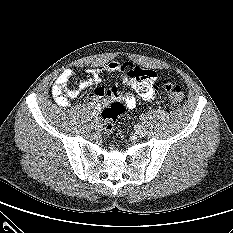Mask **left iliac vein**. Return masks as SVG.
Masks as SVG:
<instances>
[{
  "instance_id": "left-iliac-vein-1",
  "label": "left iliac vein",
  "mask_w": 233,
  "mask_h": 233,
  "mask_svg": "<svg viewBox=\"0 0 233 233\" xmlns=\"http://www.w3.org/2000/svg\"><path fill=\"white\" fill-rule=\"evenodd\" d=\"M136 132L139 137H145L147 135V129L144 125H139Z\"/></svg>"
}]
</instances>
